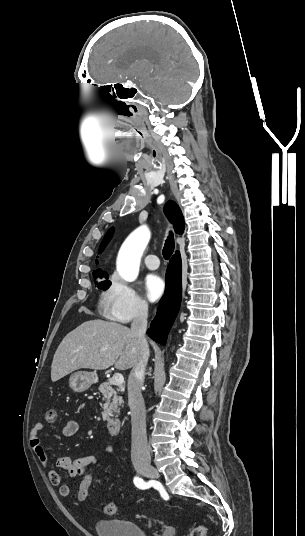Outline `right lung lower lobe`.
<instances>
[{"instance_id": "1", "label": "right lung lower lobe", "mask_w": 305, "mask_h": 536, "mask_svg": "<svg viewBox=\"0 0 305 536\" xmlns=\"http://www.w3.org/2000/svg\"><path fill=\"white\" fill-rule=\"evenodd\" d=\"M181 289V257L179 252H176L167 269L165 295L147 331L149 336L159 344L165 345L166 343L167 335L180 307Z\"/></svg>"}]
</instances>
